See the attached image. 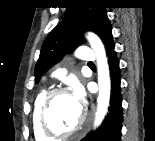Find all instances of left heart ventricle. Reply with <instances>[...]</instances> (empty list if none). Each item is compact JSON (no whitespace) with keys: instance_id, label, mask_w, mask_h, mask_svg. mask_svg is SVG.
<instances>
[{"instance_id":"b2bd125f","label":"left heart ventricle","mask_w":155,"mask_h":141,"mask_svg":"<svg viewBox=\"0 0 155 141\" xmlns=\"http://www.w3.org/2000/svg\"><path fill=\"white\" fill-rule=\"evenodd\" d=\"M82 118V109L69 93L55 96L48 110V123L56 131H69L75 128Z\"/></svg>"}]
</instances>
